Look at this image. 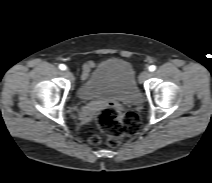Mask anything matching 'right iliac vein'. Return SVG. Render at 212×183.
I'll use <instances>...</instances> for the list:
<instances>
[{
	"label": "right iliac vein",
	"mask_w": 212,
	"mask_h": 183,
	"mask_svg": "<svg viewBox=\"0 0 212 183\" xmlns=\"http://www.w3.org/2000/svg\"><path fill=\"white\" fill-rule=\"evenodd\" d=\"M65 74L70 80H72V81L74 80V76L70 71H66Z\"/></svg>",
	"instance_id": "obj_1"
}]
</instances>
